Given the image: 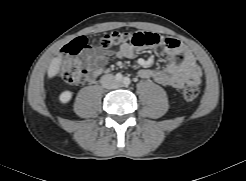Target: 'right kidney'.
<instances>
[{
	"label": "right kidney",
	"instance_id": "1",
	"mask_svg": "<svg viewBox=\"0 0 246 181\" xmlns=\"http://www.w3.org/2000/svg\"><path fill=\"white\" fill-rule=\"evenodd\" d=\"M72 98V92L71 91H64L59 95V101L62 104L68 103Z\"/></svg>",
	"mask_w": 246,
	"mask_h": 181
}]
</instances>
